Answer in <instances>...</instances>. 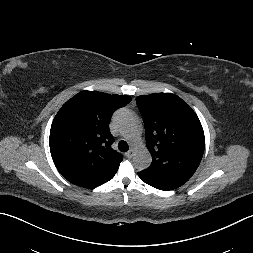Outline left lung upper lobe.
Instances as JSON below:
<instances>
[{
  "label": "left lung upper lobe",
  "instance_id": "obj_1",
  "mask_svg": "<svg viewBox=\"0 0 253 253\" xmlns=\"http://www.w3.org/2000/svg\"><path fill=\"white\" fill-rule=\"evenodd\" d=\"M151 165L146 177L186 183L198 168L205 138L199 118L180 97L170 93L138 96Z\"/></svg>",
  "mask_w": 253,
  "mask_h": 253
}]
</instances>
